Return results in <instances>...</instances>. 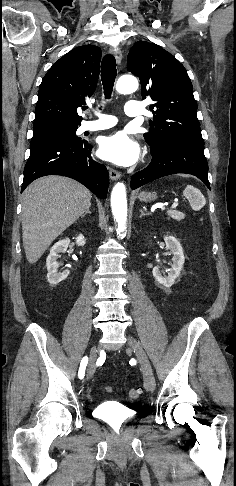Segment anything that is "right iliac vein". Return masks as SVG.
<instances>
[{
  "mask_svg": "<svg viewBox=\"0 0 236 486\" xmlns=\"http://www.w3.org/2000/svg\"><path fill=\"white\" fill-rule=\"evenodd\" d=\"M97 353L98 349L96 346L92 347L90 351V359H89V364L87 368V378L90 379L95 373V362L97 359Z\"/></svg>",
  "mask_w": 236,
  "mask_h": 486,
  "instance_id": "1",
  "label": "right iliac vein"
}]
</instances>
